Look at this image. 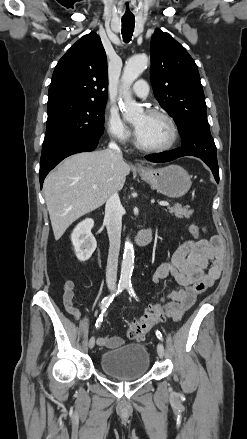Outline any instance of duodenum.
I'll return each instance as SVG.
<instances>
[{"instance_id":"1","label":"duodenum","mask_w":247,"mask_h":439,"mask_svg":"<svg viewBox=\"0 0 247 439\" xmlns=\"http://www.w3.org/2000/svg\"><path fill=\"white\" fill-rule=\"evenodd\" d=\"M152 235V228L143 229L136 235L134 242L138 247H145L151 242Z\"/></svg>"}]
</instances>
